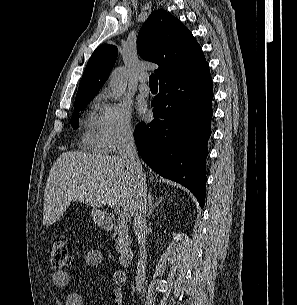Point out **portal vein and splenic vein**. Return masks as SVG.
I'll return each mask as SVG.
<instances>
[{
  "instance_id": "1",
  "label": "portal vein and splenic vein",
  "mask_w": 297,
  "mask_h": 305,
  "mask_svg": "<svg viewBox=\"0 0 297 305\" xmlns=\"http://www.w3.org/2000/svg\"><path fill=\"white\" fill-rule=\"evenodd\" d=\"M118 218L119 220L121 221H125L128 219V214L126 211H120L119 214H118Z\"/></svg>"
}]
</instances>
